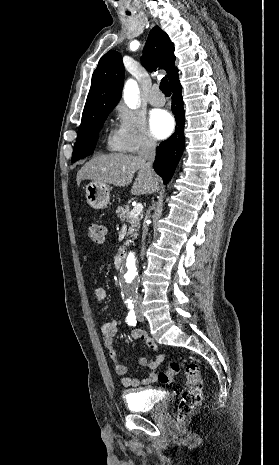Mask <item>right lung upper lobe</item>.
Returning <instances> with one entry per match:
<instances>
[{"label":"right lung upper lobe","instance_id":"cb5924a9","mask_svg":"<svg viewBox=\"0 0 279 465\" xmlns=\"http://www.w3.org/2000/svg\"><path fill=\"white\" fill-rule=\"evenodd\" d=\"M141 61L148 70H166L170 86L179 80L178 69L175 67L174 44L158 26L149 33ZM123 83L124 66L121 54L110 50L100 59L93 73L80 126L89 123L102 111L113 109L120 99Z\"/></svg>","mask_w":279,"mask_h":465}]
</instances>
